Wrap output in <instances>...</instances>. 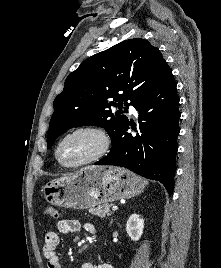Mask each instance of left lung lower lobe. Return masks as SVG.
<instances>
[{
  "label": "left lung lower lobe",
  "mask_w": 221,
  "mask_h": 268,
  "mask_svg": "<svg viewBox=\"0 0 221 268\" xmlns=\"http://www.w3.org/2000/svg\"><path fill=\"white\" fill-rule=\"evenodd\" d=\"M179 97L172 77L163 86L138 100V127L127 121L112 140L109 154L96 165L125 167L143 177L160 181L171 195L176 170L177 137L180 132ZM135 129L132 135L127 130Z\"/></svg>",
  "instance_id": "left-lung-lower-lobe-1"
}]
</instances>
